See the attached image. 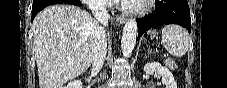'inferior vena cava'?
I'll list each match as a JSON object with an SVG mask.
<instances>
[{
    "label": "inferior vena cava",
    "instance_id": "1",
    "mask_svg": "<svg viewBox=\"0 0 227 88\" xmlns=\"http://www.w3.org/2000/svg\"><path fill=\"white\" fill-rule=\"evenodd\" d=\"M94 17L102 25L95 32L92 73L97 74L102 68L107 54V40L104 27L108 25L110 15L106 3L96 2L90 6Z\"/></svg>",
    "mask_w": 227,
    "mask_h": 88
}]
</instances>
